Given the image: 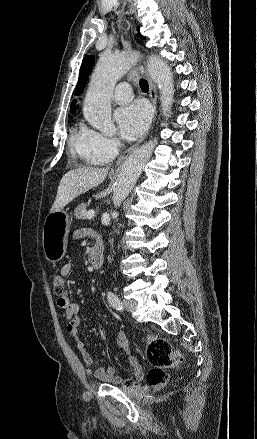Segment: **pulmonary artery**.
Masks as SVG:
<instances>
[{"instance_id": "e3ab8cb5", "label": "pulmonary artery", "mask_w": 257, "mask_h": 439, "mask_svg": "<svg viewBox=\"0 0 257 439\" xmlns=\"http://www.w3.org/2000/svg\"><path fill=\"white\" fill-rule=\"evenodd\" d=\"M132 89L128 83H120L113 92V100L117 103H126L132 99Z\"/></svg>"}]
</instances>
